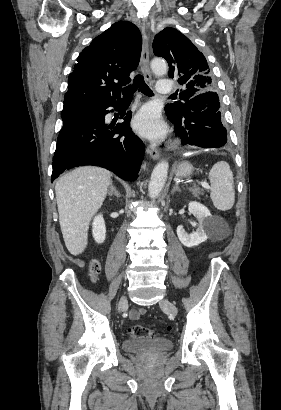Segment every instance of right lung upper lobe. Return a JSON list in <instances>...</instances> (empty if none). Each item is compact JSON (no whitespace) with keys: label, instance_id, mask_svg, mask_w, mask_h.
Returning a JSON list of instances; mask_svg holds the SVG:
<instances>
[{"label":"right lung upper lobe","instance_id":"cb5924a9","mask_svg":"<svg viewBox=\"0 0 281 410\" xmlns=\"http://www.w3.org/2000/svg\"><path fill=\"white\" fill-rule=\"evenodd\" d=\"M142 47L139 29L127 21L114 23L93 39L78 56L68 77L63 108L97 107L120 98V88L130 82Z\"/></svg>","mask_w":281,"mask_h":410}]
</instances>
